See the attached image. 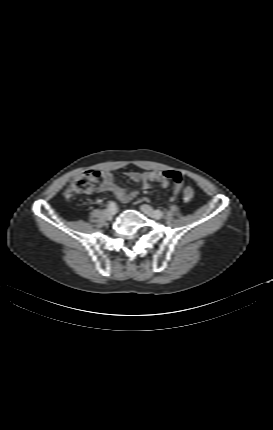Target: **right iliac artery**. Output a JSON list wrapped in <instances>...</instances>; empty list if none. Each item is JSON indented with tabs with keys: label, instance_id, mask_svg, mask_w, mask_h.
<instances>
[{
	"label": "right iliac artery",
	"instance_id": "1",
	"mask_svg": "<svg viewBox=\"0 0 273 430\" xmlns=\"http://www.w3.org/2000/svg\"><path fill=\"white\" fill-rule=\"evenodd\" d=\"M108 208H109V209H115V208H116V203H115L114 201H110V202L108 203Z\"/></svg>",
	"mask_w": 273,
	"mask_h": 430
}]
</instances>
